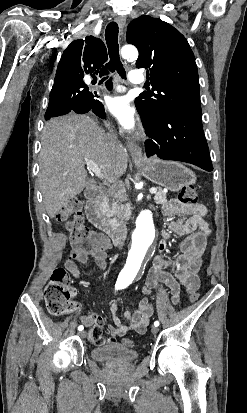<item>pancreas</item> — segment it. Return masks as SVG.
<instances>
[{"label": "pancreas", "mask_w": 247, "mask_h": 413, "mask_svg": "<svg viewBox=\"0 0 247 413\" xmlns=\"http://www.w3.org/2000/svg\"><path fill=\"white\" fill-rule=\"evenodd\" d=\"M109 194L110 196H115V194H112L111 190H109ZM166 194L167 192H164V190H161V188H159L158 192H155L154 202H156V204H164V202H167ZM121 198H126V196H121ZM120 215L121 209L119 207V204H117V202H112L106 213V217L107 219H109V225H118L117 219H110V217H120Z\"/></svg>", "instance_id": "obj_1"}]
</instances>
